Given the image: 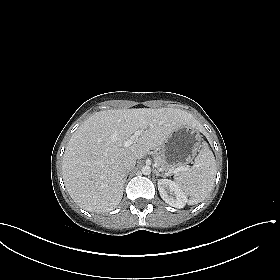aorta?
I'll return each instance as SVG.
<instances>
[{"instance_id": "1", "label": "aorta", "mask_w": 280, "mask_h": 280, "mask_svg": "<svg viewBox=\"0 0 280 280\" xmlns=\"http://www.w3.org/2000/svg\"><path fill=\"white\" fill-rule=\"evenodd\" d=\"M141 171L144 175H149L151 173V168L150 166H143Z\"/></svg>"}]
</instances>
